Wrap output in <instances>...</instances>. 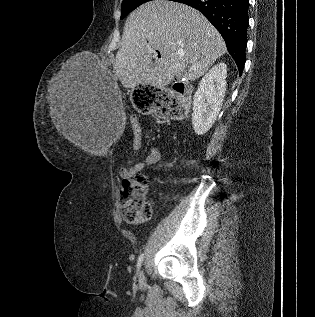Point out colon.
Here are the masks:
<instances>
[{"label":"colon","instance_id":"colon-1","mask_svg":"<svg viewBox=\"0 0 315 317\" xmlns=\"http://www.w3.org/2000/svg\"><path fill=\"white\" fill-rule=\"evenodd\" d=\"M157 97V114L166 119L182 118L187 112L185 92L182 89H161ZM134 144L140 148L142 141L141 129L133 124ZM148 180L143 174L137 173L122 181L121 213L125 221L139 224L150 219L152 208L147 200Z\"/></svg>","mask_w":315,"mask_h":317}]
</instances>
